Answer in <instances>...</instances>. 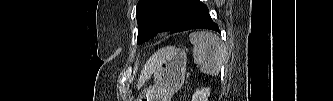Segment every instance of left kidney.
<instances>
[{
	"label": "left kidney",
	"mask_w": 333,
	"mask_h": 101,
	"mask_svg": "<svg viewBox=\"0 0 333 101\" xmlns=\"http://www.w3.org/2000/svg\"><path fill=\"white\" fill-rule=\"evenodd\" d=\"M210 95V88H203L201 90H196L192 96V101H207Z\"/></svg>",
	"instance_id": "1"
}]
</instances>
